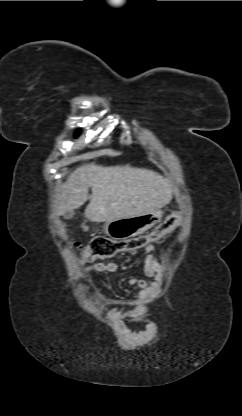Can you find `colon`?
<instances>
[{"label": "colon", "instance_id": "colon-1", "mask_svg": "<svg viewBox=\"0 0 242 416\" xmlns=\"http://www.w3.org/2000/svg\"><path fill=\"white\" fill-rule=\"evenodd\" d=\"M180 223L181 217L178 214H171L148 234L124 240H113L105 236H98L92 239L87 245L74 241L73 247L79 251L84 262L106 260L118 254L144 248L148 244L163 238L166 234L177 228Z\"/></svg>", "mask_w": 242, "mask_h": 416}]
</instances>
